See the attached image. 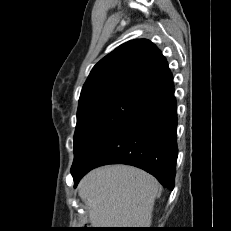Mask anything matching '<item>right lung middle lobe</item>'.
Segmentation results:
<instances>
[{
  "mask_svg": "<svg viewBox=\"0 0 231 231\" xmlns=\"http://www.w3.org/2000/svg\"><path fill=\"white\" fill-rule=\"evenodd\" d=\"M145 103L143 99L131 94H112L78 109L71 170L77 169L106 137L137 113Z\"/></svg>",
  "mask_w": 231,
  "mask_h": 231,
  "instance_id": "obj_1",
  "label": "right lung middle lobe"
}]
</instances>
